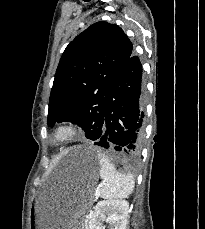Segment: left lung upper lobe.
<instances>
[{"mask_svg":"<svg viewBox=\"0 0 205 229\" xmlns=\"http://www.w3.org/2000/svg\"><path fill=\"white\" fill-rule=\"evenodd\" d=\"M132 50L123 30L107 22L94 23L71 41L55 74L48 126L70 121L89 139L104 118L108 93Z\"/></svg>","mask_w":205,"mask_h":229,"instance_id":"1","label":"left lung upper lobe"}]
</instances>
